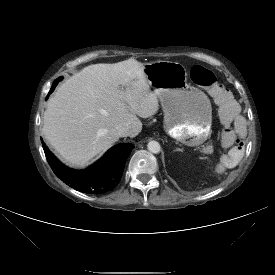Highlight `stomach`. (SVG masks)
<instances>
[{"label":"stomach","mask_w":275,"mask_h":275,"mask_svg":"<svg viewBox=\"0 0 275 275\" xmlns=\"http://www.w3.org/2000/svg\"><path fill=\"white\" fill-rule=\"evenodd\" d=\"M143 67L161 103L165 132L188 146L204 143L211 133L212 107L204 92L187 83L186 68L171 61H155Z\"/></svg>","instance_id":"0dacf381"}]
</instances>
